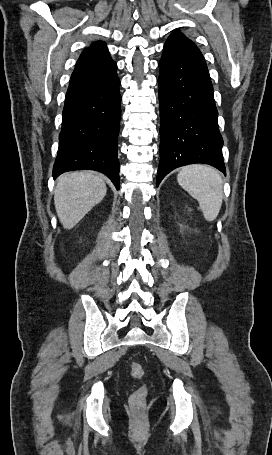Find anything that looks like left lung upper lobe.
<instances>
[{"label": "left lung upper lobe", "mask_w": 272, "mask_h": 455, "mask_svg": "<svg viewBox=\"0 0 272 455\" xmlns=\"http://www.w3.org/2000/svg\"><path fill=\"white\" fill-rule=\"evenodd\" d=\"M161 59L179 62L185 60H204L197 46L179 30L175 29L168 37Z\"/></svg>", "instance_id": "left-lung-upper-lobe-1"}]
</instances>
